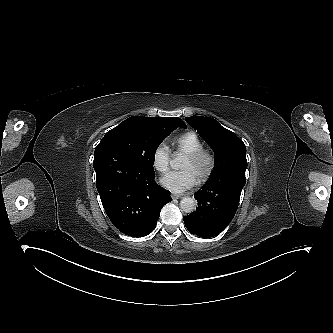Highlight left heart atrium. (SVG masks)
I'll use <instances>...</instances> for the list:
<instances>
[{"label": "left heart atrium", "instance_id": "obj_1", "mask_svg": "<svg viewBox=\"0 0 333 333\" xmlns=\"http://www.w3.org/2000/svg\"><path fill=\"white\" fill-rule=\"evenodd\" d=\"M193 183L192 176L182 170L167 172L163 178V184L177 193L184 192L191 188Z\"/></svg>", "mask_w": 333, "mask_h": 333}]
</instances>
